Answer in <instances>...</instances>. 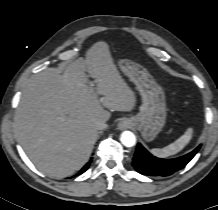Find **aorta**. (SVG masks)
<instances>
[{"mask_svg":"<svg viewBox=\"0 0 218 210\" xmlns=\"http://www.w3.org/2000/svg\"><path fill=\"white\" fill-rule=\"evenodd\" d=\"M120 141L126 147H133L136 144V137L131 131H124L120 136Z\"/></svg>","mask_w":218,"mask_h":210,"instance_id":"obj_1","label":"aorta"}]
</instances>
